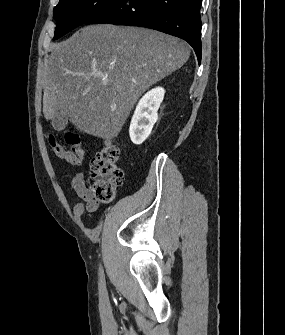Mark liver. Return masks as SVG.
Here are the masks:
<instances>
[{"instance_id": "1", "label": "liver", "mask_w": 285, "mask_h": 335, "mask_svg": "<svg viewBox=\"0 0 285 335\" xmlns=\"http://www.w3.org/2000/svg\"><path fill=\"white\" fill-rule=\"evenodd\" d=\"M43 114L67 116L80 132L117 138L140 96L184 66L190 48L162 32L97 24L50 44Z\"/></svg>"}]
</instances>
